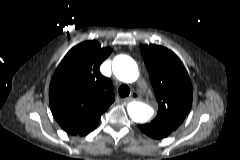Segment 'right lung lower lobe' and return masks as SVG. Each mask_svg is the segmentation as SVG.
<instances>
[{"instance_id":"1","label":"right lung lower lobe","mask_w":240,"mask_h":160,"mask_svg":"<svg viewBox=\"0 0 240 160\" xmlns=\"http://www.w3.org/2000/svg\"><path fill=\"white\" fill-rule=\"evenodd\" d=\"M94 129V128H93ZM93 129H91V130H88V131H85V132H83V133H81V134H79V135H87L89 132H91Z\"/></svg>"}]
</instances>
